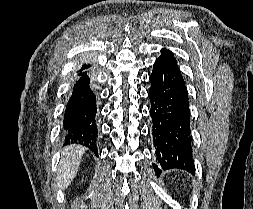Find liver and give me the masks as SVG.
Instances as JSON below:
<instances>
[{"label": "liver", "mask_w": 253, "mask_h": 209, "mask_svg": "<svg viewBox=\"0 0 253 209\" xmlns=\"http://www.w3.org/2000/svg\"><path fill=\"white\" fill-rule=\"evenodd\" d=\"M84 151L85 148L78 145H70L63 150L56 177L58 187L66 189L71 184L78 172Z\"/></svg>", "instance_id": "liver-1"}]
</instances>
